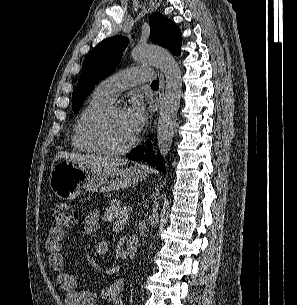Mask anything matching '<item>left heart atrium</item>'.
I'll use <instances>...</instances> for the list:
<instances>
[{
  "mask_svg": "<svg viewBox=\"0 0 297 305\" xmlns=\"http://www.w3.org/2000/svg\"><path fill=\"white\" fill-rule=\"evenodd\" d=\"M125 120L134 135H137L144 127L147 120V112L144 102L140 98H134L130 105L123 111Z\"/></svg>",
  "mask_w": 297,
  "mask_h": 305,
  "instance_id": "obj_1",
  "label": "left heart atrium"
}]
</instances>
